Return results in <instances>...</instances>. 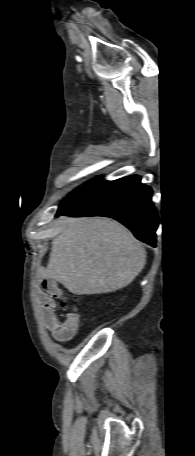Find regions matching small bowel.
I'll use <instances>...</instances> for the list:
<instances>
[{"mask_svg":"<svg viewBox=\"0 0 195 456\" xmlns=\"http://www.w3.org/2000/svg\"><path fill=\"white\" fill-rule=\"evenodd\" d=\"M60 295V290L55 281L50 279L41 281L37 300L42 323L52 332L56 340L66 341L75 334L78 326V318L76 315H70L65 322L58 320L54 310V299L59 298Z\"/></svg>","mask_w":195,"mask_h":456,"instance_id":"c3829d8e","label":"small bowel"}]
</instances>
